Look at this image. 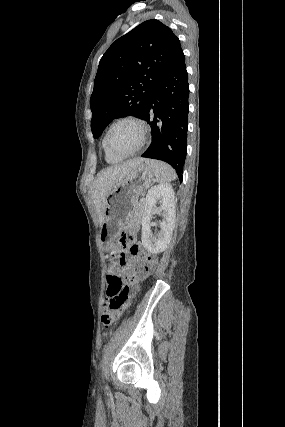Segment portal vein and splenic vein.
I'll return each instance as SVG.
<instances>
[{
  "label": "portal vein and splenic vein",
  "instance_id": "obj_1",
  "mask_svg": "<svg viewBox=\"0 0 285 427\" xmlns=\"http://www.w3.org/2000/svg\"><path fill=\"white\" fill-rule=\"evenodd\" d=\"M140 202H143V198L140 200Z\"/></svg>",
  "mask_w": 285,
  "mask_h": 427
}]
</instances>
